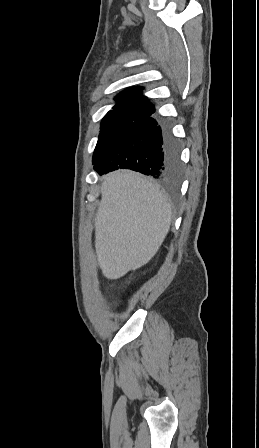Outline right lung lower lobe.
<instances>
[{"instance_id":"right-lung-lower-lobe-1","label":"right lung lower lobe","mask_w":259,"mask_h":448,"mask_svg":"<svg viewBox=\"0 0 259 448\" xmlns=\"http://www.w3.org/2000/svg\"><path fill=\"white\" fill-rule=\"evenodd\" d=\"M146 115L133 122L100 155L94 170L100 175L119 169H131L151 175L168 184L180 176L179 144L167 126Z\"/></svg>"}]
</instances>
